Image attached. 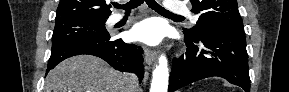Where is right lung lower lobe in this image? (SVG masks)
Here are the masks:
<instances>
[{
	"label": "right lung lower lobe",
	"instance_id": "1",
	"mask_svg": "<svg viewBox=\"0 0 289 92\" xmlns=\"http://www.w3.org/2000/svg\"><path fill=\"white\" fill-rule=\"evenodd\" d=\"M142 53L141 47L126 44L121 39L110 40L109 37L96 41H79L51 50L46 74L66 58L90 54L104 59L114 69L137 73L141 81L144 75Z\"/></svg>",
	"mask_w": 289,
	"mask_h": 92
}]
</instances>
